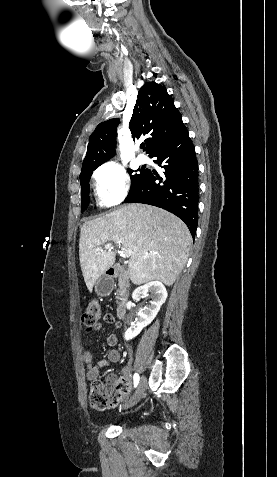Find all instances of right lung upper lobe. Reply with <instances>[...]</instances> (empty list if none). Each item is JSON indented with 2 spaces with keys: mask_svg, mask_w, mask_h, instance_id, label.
Wrapping results in <instances>:
<instances>
[{
  "mask_svg": "<svg viewBox=\"0 0 277 477\" xmlns=\"http://www.w3.org/2000/svg\"><path fill=\"white\" fill-rule=\"evenodd\" d=\"M119 119L100 123L89 138L82 170L98 167L115 152ZM182 116L166 88L155 82L145 83L138 93L129 129L133 139L147 136L146 153L173 140L185 129Z\"/></svg>",
  "mask_w": 277,
  "mask_h": 477,
  "instance_id": "cb5924a9",
  "label": "right lung upper lobe"
}]
</instances>
